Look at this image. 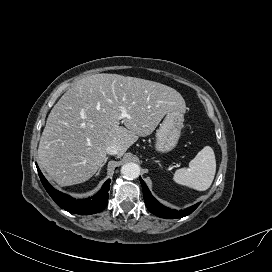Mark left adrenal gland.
<instances>
[{
    "label": "left adrenal gland",
    "instance_id": "a2214340",
    "mask_svg": "<svg viewBox=\"0 0 272 272\" xmlns=\"http://www.w3.org/2000/svg\"><path fill=\"white\" fill-rule=\"evenodd\" d=\"M156 163H158L159 167L162 168V165L160 164L159 161L155 160Z\"/></svg>",
    "mask_w": 272,
    "mask_h": 272
}]
</instances>
